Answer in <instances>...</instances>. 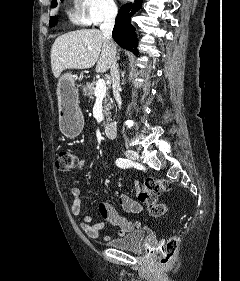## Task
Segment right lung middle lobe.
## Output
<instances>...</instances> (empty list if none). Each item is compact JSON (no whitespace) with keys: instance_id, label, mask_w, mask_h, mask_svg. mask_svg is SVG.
<instances>
[{"instance_id":"right-lung-middle-lobe-1","label":"right lung middle lobe","mask_w":240,"mask_h":281,"mask_svg":"<svg viewBox=\"0 0 240 281\" xmlns=\"http://www.w3.org/2000/svg\"><path fill=\"white\" fill-rule=\"evenodd\" d=\"M61 1H63V0H61ZM56 6H57L56 0H52L51 7L54 8V7H56ZM56 21H57L56 17H50V23H49V25H50V26H54V25L56 24Z\"/></svg>"}]
</instances>
